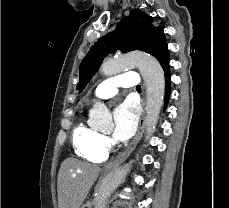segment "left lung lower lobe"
<instances>
[{"instance_id": "left-lung-lower-lobe-1", "label": "left lung lower lobe", "mask_w": 229, "mask_h": 208, "mask_svg": "<svg viewBox=\"0 0 229 208\" xmlns=\"http://www.w3.org/2000/svg\"><path fill=\"white\" fill-rule=\"evenodd\" d=\"M168 63H169V60L165 61L161 65L163 67L164 72H165V82H166V84H165V86H166V89H165V93H166L165 106L167 105L168 98L170 95V69H169Z\"/></svg>"}]
</instances>
